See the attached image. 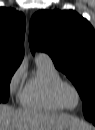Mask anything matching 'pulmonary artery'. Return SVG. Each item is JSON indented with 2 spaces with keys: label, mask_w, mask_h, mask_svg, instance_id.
<instances>
[{
  "label": "pulmonary artery",
  "mask_w": 95,
  "mask_h": 130,
  "mask_svg": "<svg viewBox=\"0 0 95 130\" xmlns=\"http://www.w3.org/2000/svg\"><path fill=\"white\" fill-rule=\"evenodd\" d=\"M36 59L50 60V57L45 53H38L36 55Z\"/></svg>",
  "instance_id": "1"
}]
</instances>
